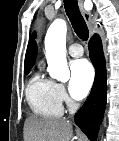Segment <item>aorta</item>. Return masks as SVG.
Instances as JSON below:
<instances>
[{
	"mask_svg": "<svg viewBox=\"0 0 119 141\" xmlns=\"http://www.w3.org/2000/svg\"><path fill=\"white\" fill-rule=\"evenodd\" d=\"M66 33V22L57 19L50 25L45 37L47 70L52 78L62 82L70 77L66 60Z\"/></svg>",
	"mask_w": 119,
	"mask_h": 141,
	"instance_id": "1",
	"label": "aorta"
}]
</instances>
